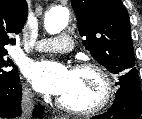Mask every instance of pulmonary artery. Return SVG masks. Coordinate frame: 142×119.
Returning a JSON list of instances; mask_svg holds the SVG:
<instances>
[{"label": "pulmonary artery", "instance_id": "1", "mask_svg": "<svg viewBox=\"0 0 142 119\" xmlns=\"http://www.w3.org/2000/svg\"><path fill=\"white\" fill-rule=\"evenodd\" d=\"M71 37L63 34L58 37L42 39L35 44V49L41 52L64 53L72 49Z\"/></svg>", "mask_w": 142, "mask_h": 119}]
</instances>
